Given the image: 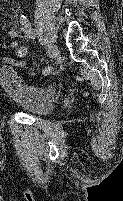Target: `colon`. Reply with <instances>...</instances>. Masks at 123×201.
Instances as JSON below:
<instances>
[{
	"mask_svg": "<svg viewBox=\"0 0 123 201\" xmlns=\"http://www.w3.org/2000/svg\"><path fill=\"white\" fill-rule=\"evenodd\" d=\"M12 45L15 46V43H12ZM18 53L20 56H23L25 54V51L24 49H19Z\"/></svg>",
	"mask_w": 123,
	"mask_h": 201,
	"instance_id": "5ec220e1",
	"label": "colon"
}]
</instances>
